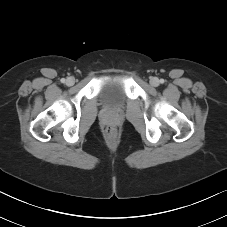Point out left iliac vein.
<instances>
[{
  "instance_id": "1",
  "label": "left iliac vein",
  "mask_w": 227,
  "mask_h": 227,
  "mask_svg": "<svg viewBox=\"0 0 227 227\" xmlns=\"http://www.w3.org/2000/svg\"><path fill=\"white\" fill-rule=\"evenodd\" d=\"M150 84H151L152 86H154V87L158 86V85H159V79L156 78V77H152V78L150 79Z\"/></svg>"
}]
</instances>
